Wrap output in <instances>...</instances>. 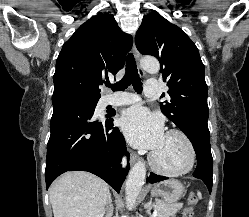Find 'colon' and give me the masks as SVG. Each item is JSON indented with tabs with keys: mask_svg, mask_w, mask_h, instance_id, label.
I'll list each match as a JSON object with an SVG mask.
<instances>
[{
	"mask_svg": "<svg viewBox=\"0 0 249 217\" xmlns=\"http://www.w3.org/2000/svg\"><path fill=\"white\" fill-rule=\"evenodd\" d=\"M197 201H198L197 196L194 193H192L188 197V205L183 211V217H193V215H194V206L197 203Z\"/></svg>",
	"mask_w": 249,
	"mask_h": 217,
	"instance_id": "1",
	"label": "colon"
}]
</instances>
